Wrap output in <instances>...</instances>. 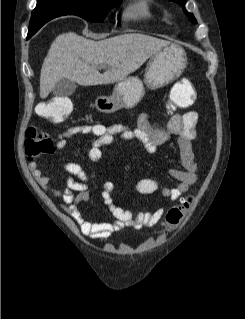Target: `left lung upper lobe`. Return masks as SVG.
<instances>
[{
	"mask_svg": "<svg viewBox=\"0 0 245 319\" xmlns=\"http://www.w3.org/2000/svg\"><path fill=\"white\" fill-rule=\"evenodd\" d=\"M170 1L176 2L179 5H181L182 7H185L186 0H170ZM184 11L190 18H192L196 22V19L194 18V16L192 14L188 13L185 9H184Z\"/></svg>",
	"mask_w": 245,
	"mask_h": 319,
	"instance_id": "obj_1",
	"label": "left lung upper lobe"
}]
</instances>
